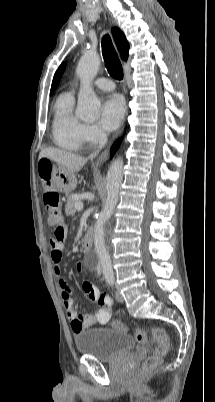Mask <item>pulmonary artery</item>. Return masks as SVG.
Here are the masks:
<instances>
[{
	"instance_id": "pulmonary-artery-1",
	"label": "pulmonary artery",
	"mask_w": 215,
	"mask_h": 402,
	"mask_svg": "<svg viewBox=\"0 0 215 402\" xmlns=\"http://www.w3.org/2000/svg\"><path fill=\"white\" fill-rule=\"evenodd\" d=\"M94 85L104 91H111L114 89V84L107 78H98L94 81Z\"/></svg>"
}]
</instances>
